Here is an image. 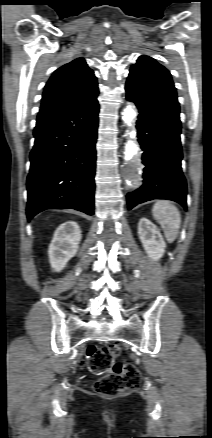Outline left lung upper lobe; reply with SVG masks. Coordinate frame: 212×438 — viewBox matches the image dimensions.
Returning <instances> with one entry per match:
<instances>
[{
	"instance_id": "5c2ea615",
	"label": "left lung upper lobe",
	"mask_w": 212,
	"mask_h": 438,
	"mask_svg": "<svg viewBox=\"0 0 212 438\" xmlns=\"http://www.w3.org/2000/svg\"><path fill=\"white\" fill-rule=\"evenodd\" d=\"M127 83H133L177 99L176 89L169 71L153 58L145 55L140 56L137 63L131 67Z\"/></svg>"
}]
</instances>
